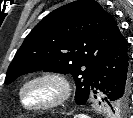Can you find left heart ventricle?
<instances>
[{
	"mask_svg": "<svg viewBox=\"0 0 133 118\" xmlns=\"http://www.w3.org/2000/svg\"><path fill=\"white\" fill-rule=\"evenodd\" d=\"M56 96V89L45 82H35L24 92V101L28 106L46 103Z\"/></svg>",
	"mask_w": 133,
	"mask_h": 118,
	"instance_id": "obj_1",
	"label": "left heart ventricle"
}]
</instances>
